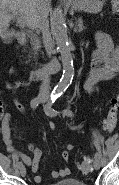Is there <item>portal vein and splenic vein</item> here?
Wrapping results in <instances>:
<instances>
[{
    "mask_svg": "<svg viewBox=\"0 0 119 185\" xmlns=\"http://www.w3.org/2000/svg\"><path fill=\"white\" fill-rule=\"evenodd\" d=\"M18 23L22 27H25L27 25L26 22L23 19L21 21H19Z\"/></svg>",
    "mask_w": 119,
    "mask_h": 185,
    "instance_id": "obj_1",
    "label": "portal vein and splenic vein"
}]
</instances>
